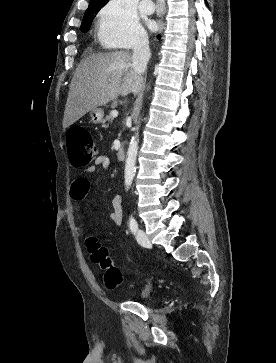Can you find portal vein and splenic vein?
Wrapping results in <instances>:
<instances>
[{
    "instance_id": "18ae733b",
    "label": "portal vein and splenic vein",
    "mask_w": 276,
    "mask_h": 363,
    "mask_svg": "<svg viewBox=\"0 0 276 363\" xmlns=\"http://www.w3.org/2000/svg\"><path fill=\"white\" fill-rule=\"evenodd\" d=\"M111 115H112V117H117L118 116V111H116V110H113L112 112H111Z\"/></svg>"
}]
</instances>
